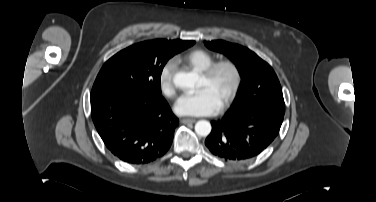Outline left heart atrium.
Returning a JSON list of instances; mask_svg holds the SVG:
<instances>
[{
  "mask_svg": "<svg viewBox=\"0 0 376 202\" xmlns=\"http://www.w3.org/2000/svg\"><path fill=\"white\" fill-rule=\"evenodd\" d=\"M219 109V101L207 87L181 96L175 105L176 113L185 116L212 115Z\"/></svg>",
  "mask_w": 376,
  "mask_h": 202,
  "instance_id": "left-heart-atrium-1",
  "label": "left heart atrium"
}]
</instances>
